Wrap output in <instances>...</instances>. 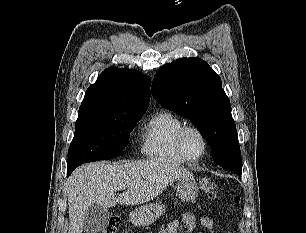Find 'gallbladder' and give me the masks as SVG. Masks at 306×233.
I'll return each instance as SVG.
<instances>
[{
    "label": "gallbladder",
    "mask_w": 306,
    "mask_h": 233,
    "mask_svg": "<svg viewBox=\"0 0 306 233\" xmlns=\"http://www.w3.org/2000/svg\"><path fill=\"white\" fill-rule=\"evenodd\" d=\"M107 208L94 204L84 216V231L87 233H98L107 226L109 221Z\"/></svg>",
    "instance_id": "gallbladder-1"
}]
</instances>
